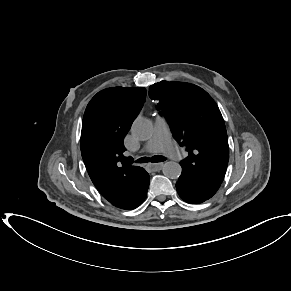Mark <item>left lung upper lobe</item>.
<instances>
[{"label":"left lung upper lobe","instance_id":"5c2ea615","mask_svg":"<svg viewBox=\"0 0 291 291\" xmlns=\"http://www.w3.org/2000/svg\"><path fill=\"white\" fill-rule=\"evenodd\" d=\"M171 126L176 141L189 152L182 171L220 187L229 160L226 127L212 97L202 88L185 82L161 81L149 87Z\"/></svg>","mask_w":291,"mask_h":291}]
</instances>
